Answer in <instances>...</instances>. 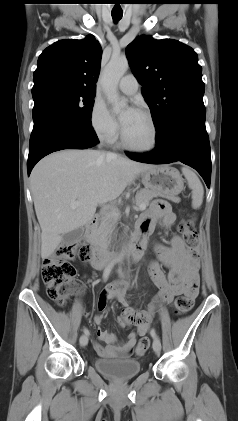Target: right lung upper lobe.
<instances>
[{"instance_id": "cb5924a9", "label": "right lung upper lobe", "mask_w": 238, "mask_h": 421, "mask_svg": "<svg viewBox=\"0 0 238 421\" xmlns=\"http://www.w3.org/2000/svg\"><path fill=\"white\" fill-rule=\"evenodd\" d=\"M101 56V46L94 36L57 41L39 56L34 86L54 82L96 91Z\"/></svg>"}]
</instances>
